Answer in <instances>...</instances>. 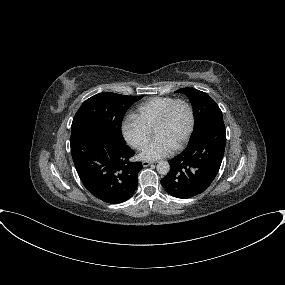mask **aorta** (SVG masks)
Returning a JSON list of instances; mask_svg holds the SVG:
<instances>
[{
    "label": "aorta",
    "instance_id": "762f6f07",
    "mask_svg": "<svg viewBox=\"0 0 285 285\" xmlns=\"http://www.w3.org/2000/svg\"><path fill=\"white\" fill-rule=\"evenodd\" d=\"M157 171L161 175H166L170 171V164L167 161H161L157 164Z\"/></svg>",
    "mask_w": 285,
    "mask_h": 285
}]
</instances>
